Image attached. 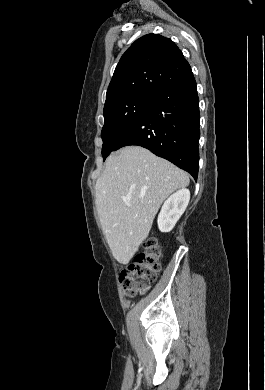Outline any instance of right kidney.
I'll use <instances>...</instances> for the list:
<instances>
[{"label":"right kidney","instance_id":"obj_1","mask_svg":"<svg viewBox=\"0 0 265 390\" xmlns=\"http://www.w3.org/2000/svg\"><path fill=\"white\" fill-rule=\"evenodd\" d=\"M190 200V191L181 189L172 194L163 204L158 215V228L161 232H170L181 215L184 213Z\"/></svg>","mask_w":265,"mask_h":390}]
</instances>
